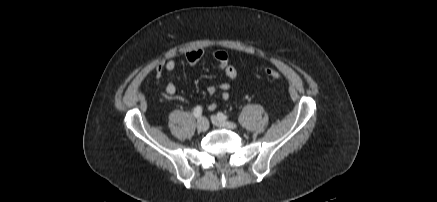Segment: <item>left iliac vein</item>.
<instances>
[{"label": "left iliac vein", "instance_id": "1", "mask_svg": "<svg viewBox=\"0 0 437 202\" xmlns=\"http://www.w3.org/2000/svg\"><path fill=\"white\" fill-rule=\"evenodd\" d=\"M211 121L215 126L222 127V128L235 129L237 127V125L234 122L221 120L217 116H211Z\"/></svg>", "mask_w": 437, "mask_h": 202}]
</instances>
